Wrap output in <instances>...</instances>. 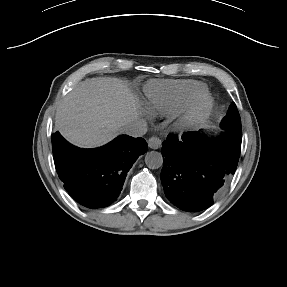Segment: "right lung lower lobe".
Wrapping results in <instances>:
<instances>
[{"instance_id":"1","label":"right lung lower lobe","mask_w":287,"mask_h":287,"mask_svg":"<svg viewBox=\"0 0 287 287\" xmlns=\"http://www.w3.org/2000/svg\"><path fill=\"white\" fill-rule=\"evenodd\" d=\"M52 148L65 190L81 205L99 208L117 199L127 172L148 145L143 138L122 135L102 147L80 149L56 132Z\"/></svg>"}]
</instances>
